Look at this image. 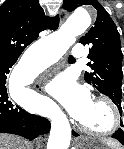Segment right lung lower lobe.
Listing matches in <instances>:
<instances>
[{"instance_id":"obj_1","label":"right lung lower lobe","mask_w":124,"mask_h":149,"mask_svg":"<svg viewBox=\"0 0 124 149\" xmlns=\"http://www.w3.org/2000/svg\"><path fill=\"white\" fill-rule=\"evenodd\" d=\"M18 58L0 60V133H10L33 140L48 133L50 122L41 116L30 114L9 100L6 80L10 68Z\"/></svg>"}]
</instances>
